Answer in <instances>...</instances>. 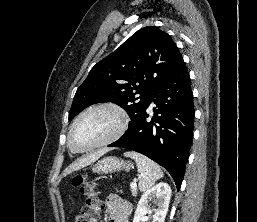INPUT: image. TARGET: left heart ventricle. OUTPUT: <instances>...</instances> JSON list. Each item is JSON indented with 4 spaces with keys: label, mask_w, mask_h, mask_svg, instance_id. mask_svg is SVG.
Wrapping results in <instances>:
<instances>
[{
    "label": "left heart ventricle",
    "mask_w": 257,
    "mask_h": 222,
    "mask_svg": "<svg viewBox=\"0 0 257 222\" xmlns=\"http://www.w3.org/2000/svg\"><path fill=\"white\" fill-rule=\"evenodd\" d=\"M117 122L116 115L107 110L88 113L80 119L73 130L74 145L83 149L103 141L115 131Z\"/></svg>",
    "instance_id": "b2bd125f"
}]
</instances>
